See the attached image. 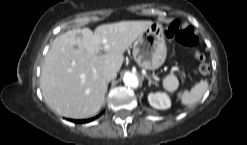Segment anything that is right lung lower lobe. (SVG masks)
<instances>
[{"mask_svg": "<svg viewBox=\"0 0 247 145\" xmlns=\"http://www.w3.org/2000/svg\"><path fill=\"white\" fill-rule=\"evenodd\" d=\"M93 119H88V120H77V121H74L76 123H85V122H89V121H92Z\"/></svg>", "mask_w": 247, "mask_h": 145, "instance_id": "98d812e1", "label": "right lung lower lobe"}]
</instances>
